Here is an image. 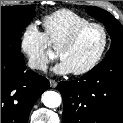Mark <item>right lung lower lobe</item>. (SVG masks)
Here are the masks:
<instances>
[{
  "instance_id": "98d812e1",
  "label": "right lung lower lobe",
  "mask_w": 123,
  "mask_h": 123,
  "mask_svg": "<svg viewBox=\"0 0 123 123\" xmlns=\"http://www.w3.org/2000/svg\"><path fill=\"white\" fill-rule=\"evenodd\" d=\"M49 81L26 71L23 54L1 46V123H27L30 111Z\"/></svg>"
}]
</instances>
